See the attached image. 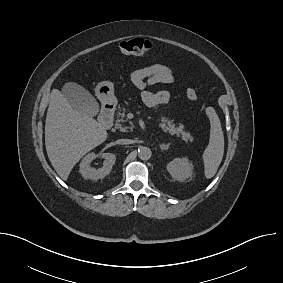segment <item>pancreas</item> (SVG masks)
Segmentation results:
<instances>
[{
    "mask_svg": "<svg viewBox=\"0 0 283 283\" xmlns=\"http://www.w3.org/2000/svg\"><path fill=\"white\" fill-rule=\"evenodd\" d=\"M125 113H126L125 108H122L117 113L118 119L116 120V124H115V128H118L123 132H125L128 128L126 126L125 127L123 126V123L125 122ZM160 121H161V123H160L159 127L164 132L171 134V135H176L177 137H180L185 142H187L188 140L190 142L193 141V136L189 132H186L184 130L183 124L176 125L165 116H161Z\"/></svg>",
    "mask_w": 283,
    "mask_h": 283,
    "instance_id": "cf45deb5",
    "label": "pancreas"
}]
</instances>
